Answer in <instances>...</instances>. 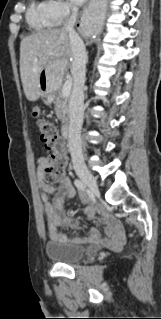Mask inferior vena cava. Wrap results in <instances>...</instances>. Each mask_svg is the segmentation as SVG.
Wrapping results in <instances>:
<instances>
[{"instance_id": "obj_1", "label": "inferior vena cava", "mask_w": 161, "mask_h": 319, "mask_svg": "<svg viewBox=\"0 0 161 319\" xmlns=\"http://www.w3.org/2000/svg\"><path fill=\"white\" fill-rule=\"evenodd\" d=\"M71 16L66 20L62 30L69 35L73 62L71 73L74 84L69 102V150L75 170L85 169L82 152L81 129L84 115V83L87 63V52L80 36L74 30L78 9L71 6Z\"/></svg>"}]
</instances>
